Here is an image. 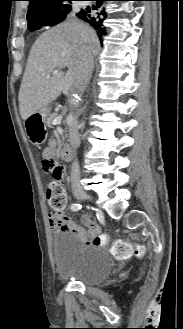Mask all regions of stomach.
<instances>
[{"mask_svg": "<svg viewBox=\"0 0 183 329\" xmlns=\"http://www.w3.org/2000/svg\"><path fill=\"white\" fill-rule=\"evenodd\" d=\"M50 110V107L45 105L37 111V114L40 115L43 119H45L49 115Z\"/></svg>", "mask_w": 183, "mask_h": 329, "instance_id": "stomach-1", "label": "stomach"}]
</instances>
